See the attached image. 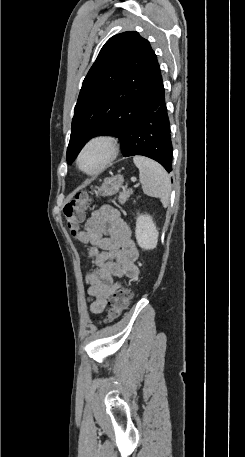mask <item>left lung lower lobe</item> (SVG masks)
I'll use <instances>...</instances> for the list:
<instances>
[{"label": "left lung lower lobe", "mask_w": 245, "mask_h": 457, "mask_svg": "<svg viewBox=\"0 0 245 457\" xmlns=\"http://www.w3.org/2000/svg\"><path fill=\"white\" fill-rule=\"evenodd\" d=\"M101 135L118 137L124 157L146 156L159 162L167 172L172 171L170 121L160 69L143 104L122 115L114 127Z\"/></svg>", "instance_id": "0a47b994"}]
</instances>
